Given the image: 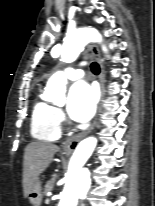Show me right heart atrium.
Masks as SVG:
<instances>
[{"label": "right heart atrium", "instance_id": "d8ad5b80", "mask_svg": "<svg viewBox=\"0 0 155 206\" xmlns=\"http://www.w3.org/2000/svg\"><path fill=\"white\" fill-rule=\"evenodd\" d=\"M57 117H58L60 122L64 121V114L60 109H57Z\"/></svg>", "mask_w": 155, "mask_h": 206}]
</instances>
